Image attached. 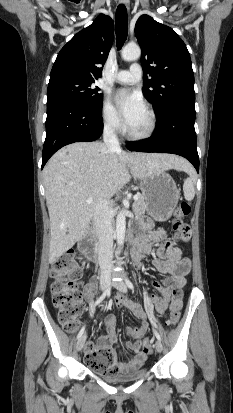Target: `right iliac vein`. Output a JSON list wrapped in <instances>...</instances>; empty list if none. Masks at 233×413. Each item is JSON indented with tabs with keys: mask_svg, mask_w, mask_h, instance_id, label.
<instances>
[{
	"mask_svg": "<svg viewBox=\"0 0 233 413\" xmlns=\"http://www.w3.org/2000/svg\"><path fill=\"white\" fill-rule=\"evenodd\" d=\"M101 287H102L103 290H106L109 287V276H105L102 279ZM85 341H86V335L84 334L83 336L80 337V339L77 342L76 347H77L78 351L82 350V348L84 347Z\"/></svg>",
	"mask_w": 233,
	"mask_h": 413,
	"instance_id": "right-iliac-vein-1",
	"label": "right iliac vein"
}]
</instances>
